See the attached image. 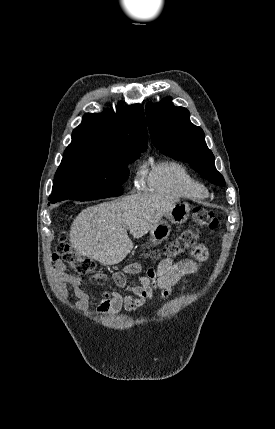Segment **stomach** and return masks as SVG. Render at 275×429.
I'll list each match as a JSON object with an SVG mask.
<instances>
[{
    "instance_id": "stomach-1",
    "label": "stomach",
    "mask_w": 275,
    "mask_h": 429,
    "mask_svg": "<svg viewBox=\"0 0 275 429\" xmlns=\"http://www.w3.org/2000/svg\"><path fill=\"white\" fill-rule=\"evenodd\" d=\"M190 207L186 202H176L172 209L164 214L165 219H160L150 230V241L158 245L168 238L171 232V224H183L189 217Z\"/></svg>"
}]
</instances>
